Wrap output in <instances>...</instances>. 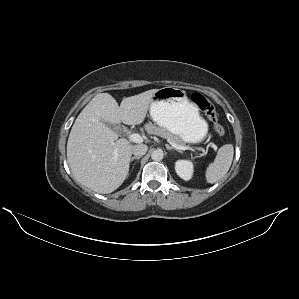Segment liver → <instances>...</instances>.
I'll use <instances>...</instances> for the list:
<instances>
[{
  "instance_id": "obj_1",
  "label": "liver",
  "mask_w": 299,
  "mask_h": 299,
  "mask_svg": "<svg viewBox=\"0 0 299 299\" xmlns=\"http://www.w3.org/2000/svg\"><path fill=\"white\" fill-rule=\"evenodd\" d=\"M157 89L124 98L120 106L108 93L97 94L75 120L67 142V161L75 179L91 190L108 194L126 179L132 150L128 140L102 121L141 124Z\"/></svg>"
}]
</instances>
